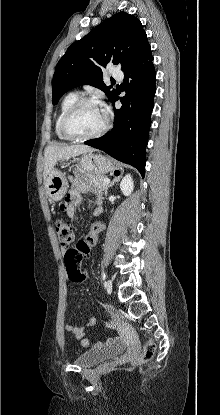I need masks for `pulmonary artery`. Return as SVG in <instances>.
<instances>
[{"mask_svg":"<svg viewBox=\"0 0 220 415\" xmlns=\"http://www.w3.org/2000/svg\"><path fill=\"white\" fill-rule=\"evenodd\" d=\"M112 76L118 80H121L123 78V73L116 69L112 72Z\"/></svg>","mask_w":220,"mask_h":415,"instance_id":"1","label":"pulmonary artery"}]
</instances>
